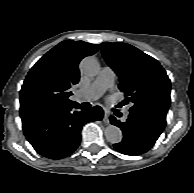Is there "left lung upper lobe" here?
Returning <instances> with one entry per match:
<instances>
[{
    "label": "left lung upper lobe",
    "instance_id": "left-lung-upper-lobe-1",
    "mask_svg": "<svg viewBox=\"0 0 194 193\" xmlns=\"http://www.w3.org/2000/svg\"><path fill=\"white\" fill-rule=\"evenodd\" d=\"M106 62L119 76V89L130 111L166 115L170 106L171 83L166 71L153 57L126 43L101 44Z\"/></svg>",
    "mask_w": 194,
    "mask_h": 193
}]
</instances>
